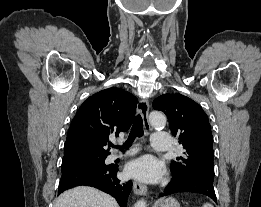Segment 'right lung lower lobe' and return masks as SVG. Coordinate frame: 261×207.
<instances>
[{
  "label": "right lung lower lobe",
  "mask_w": 261,
  "mask_h": 207,
  "mask_svg": "<svg viewBox=\"0 0 261 207\" xmlns=\"http://www.w3.org/2000/svg\"><path fill=\"white\" fill-rule=\"evenodd\" d=\"M117 171V165H104L62 172L58 195L75 186H91L112 195L120 207H126L132 182H122L117 179Z\"/></svg>",
  "instance_id": "98d812e1"
}]
</instances>
